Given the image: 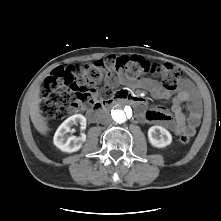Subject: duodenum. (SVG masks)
I'll list each match as a JSON object with an SVG mask.
<instances>
[{"mask_svg": "<svg viewBox=\"0 0 221 221\" xmlns=\"http://www.w3.org/2000/svg\"><path fill=\"white\" fill-rule=\"evenodd\" d=\"M118 102H126L131 106L137 107L138 109H141L144 105L142 99L134 97L127 91H119L111 98L96 100L87 110L88 119L95 121L102 111L107 110Z\"/></svg>", "mask_w": 221, "mask_h": 221, "instance_id": "obj_1", "label": "duodenum"}]
</instances>
